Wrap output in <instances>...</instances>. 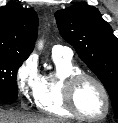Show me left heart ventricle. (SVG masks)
I'll use <instances>...</instances> for the list:
<instances>
[{
    "label": "left heart ventricle",
    "instance_id": "obj_1",
    "mask_svg": "<svg viewBox=\"0 0 118 123\" xmlns=\"http://www.w3.org/2000/svg\"><path fill=\"white\" fill-rule=\"evenodd\" d=\"M76 103L80 111L90 117L101 116L106 109L104 96L92 81L82 82L76 91Z\"/></svg>",
    "mask_w": 118,
    "mask_h": 123
}]
</instances>
